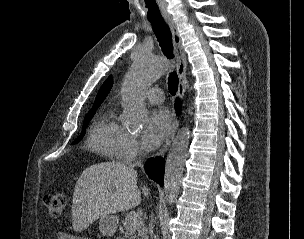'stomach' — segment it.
Listing matches in <instances>:
<instances>
[{"label": "stomach", "mask_w": 304, "mask_h": 239, "mask_svg": "<svg viewBox=\"0 0 304 239\" xmlns=\"http://www.w3.org/2000/svg\"><path fill=\"white\" fill-rule=\"evenodd\" d=\"M119 219L114 215H104L99 220V231L103 236H113L118 228Z\"/></svg>", "instance_id": "obj_1"}]
</instances>
